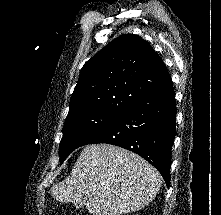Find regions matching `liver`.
<instances>
[{"mask_svg": "<svg viewBox=\"0 0 221 215\" xmlns=\"http://www.w3.org/2000/svg\"><path fill=\"white\" fill-rule=\"evenodd\" d=\"M160 173L139 155L110 144L87 145L70 175L51 188L59 202L84 198L93 215L139 211L159 192Z\"/></svg>", "mask_w": 221, "mask_h": 215, "instance_id": "6515ba94", "label": "liver"}]
</instances>
